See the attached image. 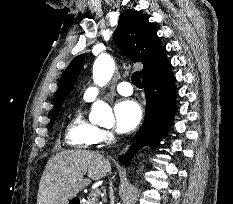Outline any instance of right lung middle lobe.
Masks as SVG:
<instances>
[{
  "mask_svg": "<svg viewBox=\"0 0 233 204\" xmlns=\"http://www.w3.org/2000/svg\"><path fill=\"white\" fill-rule=\"evenodd\" d=\"M55 118H56V117H54V118L51 119V124L53 123V121L55 120Z\"/></svg>",
  "mask_w": 233,
  "mask_h": 204,
  "instance_id": "1",
  "label": "right lung middle lobe"
}]
</instances>
